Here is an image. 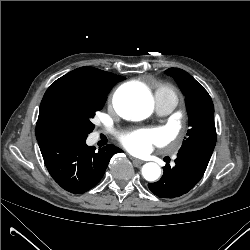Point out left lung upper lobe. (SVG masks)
<instances>
[{
  "label": "left lung upper lobe",
  "instance_id": "obj_1",
  "mask_svg": "<svg viewBox=\"0 0 250 250\" xmlns=\"http://www.w3.org/2000/svg\"><path fill=\"white\" fill-rule=\"evenodd\" d=\"M166 73L175 78L184 94L189 116L191 128L188 130V138L183 142L180 150L194 144L216 142L214 106L208 92L182 69L169 68Z\"/></svg>",
  "mask_w": 250,
  "mask_h": 250
}]
</instances>
